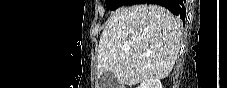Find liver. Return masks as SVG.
Masks as SVG:
<instances>
[{
	"label": "liver",
	"instance_id": "obj_1",
	"mask_svg": "<svg viewBox=\"0 0 227 88\" xmlns=\"http://www.w3.org/2000/svg\"><path fill=\"white\" fill-rule=\"evenodd\" d=\"M181 44L180 22L166 8L147 4L121 7L101 33L98 75L111 72L122 86L163 79L172 71Z\"/></svg>",
	"mask_w": 227,
	"mask_h": 88
}]
</instances>
